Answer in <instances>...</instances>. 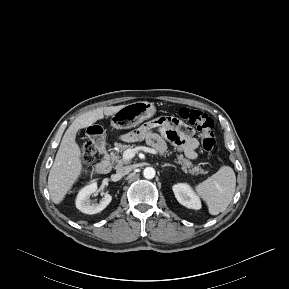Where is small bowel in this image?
Returning <instances> with one entry per match:
<instances>
[{
    "label": "small bowel",
    "instance_id": "1",
    "mask_svg": "<svg viewBox=\"0 0 289 289\" xmlns=\"http://www.w3.org/2000/svg\"><path fill=\"white\" fill-rule=\"evenodd\" d=\"M134 138L144 139L159 152L166 149V140L172 143L185 156L195 159L198 140L193 136V130L175 118H162L148 122L133 133Z\"/></svg>",
    "mask_w": 289,
    "mask_h": 289
}]
</instances>
